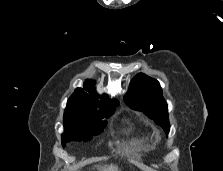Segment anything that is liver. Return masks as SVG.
<instances>
[{
	"instance_id": "obj_1",
	"label": "liver",
	"mask_w": 223,
	"mask_h": 171,
	"mask_svg": "<svg viewBox=\"0 0 223 171\" xmlns=\"http://www.w3.org/2000/svg\"><path fill=\"white\" fill-rule=\"evenodd\" d=\"M99 171H120L116 165L111 164L110 166L99 167Z\"/></svg>"
}]
</instances>
